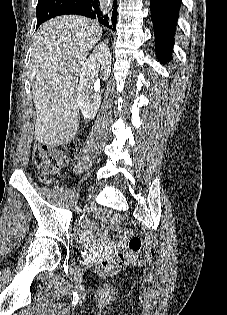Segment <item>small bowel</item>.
Masks as SVG:
<instances>
[{
	"instance_id": "small-bowel-1",
	"label": "small bowel",
	"mask_w": 227,
	"mask_h": 315,
	"mask_svg": "<svg viewBox=\"0 0 227 315\" xmlns=\"http://www.w3.org/2000/svg\"><path fill=\"white\" fill-rule=\"evenodd\" d=\"M98 234L101 235V236H105L106 235V230L103 226H99L98 229ZM84 237L89 239L91 237V232L89 230H87L85 233H84Z\"/></svg>"
}]
</instances>
